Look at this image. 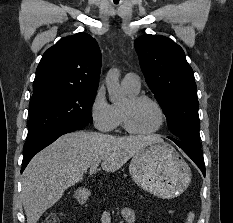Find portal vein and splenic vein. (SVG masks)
I'll return each instance as SVG.
<instances>
[{"mask_svg":"<svg viewBox=\"0 0 233 223\" xmlns=\"http://www.w3.org/2000/svg\"><path fill=\"white\" fill-rule=\"evenodd\" d=\"M100 161H94V163H92L91 167L92 169H96V167H98Z\"/></svg>","mask_w":233,"mask_h":223,"instance_id":"portal-vein-and-splenic-vein-1","label":"portal vein and splenic vein"}]
</instances>
